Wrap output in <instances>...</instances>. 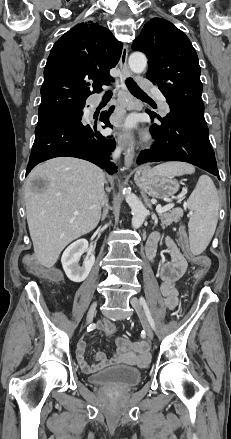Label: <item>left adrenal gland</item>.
<instances>
[{
	"instance_id": "1",
	"label": "left adrenal gland",
	"mask_w": 231,
	"mask_h": 439,
	"mask_svg": "<svg viewBox=\"0 0 231 439\" xmlns=\"http://www.w3.org/2000/svg\"><path fill=\"white\" fill-rule=\"evenodd\" d=\"M142 195H143V198H144L146 205L152 210V205H151L148 197L145 194H142Z\"/></svg>"
}]
</instances>
